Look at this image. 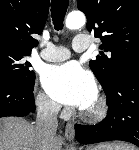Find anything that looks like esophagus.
I'll use <instances>...</instances> for the list:
<instances>
[{
	"instance_id": "obj_1",
	"label": "esophagus",
	"mask_w": 139,
	"mask_h": 150,
	"mask_svg": "<svg viewBox=\"0 0 139 150\" xmlns=\"http://www.w3.org/2000/svg\"><path fill=\"white\" fill-rule=\"evenodd\" d=\"M65 137L67 140L72 141L75 137L74 125L73 123H67L65 126Z\"/></svg>"
}]
</instances>
